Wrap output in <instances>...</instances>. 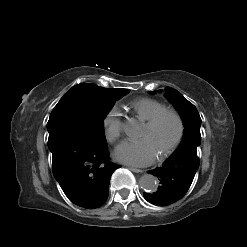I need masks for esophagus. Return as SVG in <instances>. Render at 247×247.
Here are the masks:
<instances>
[{
	"instance_id": "1",
	"label": "esophagus",
	"mask_w": 247,
	"mask_h": 247,
	"mask_svg": "<svg viewBox=\"0 0 247 247\" xmlns=\"http://www.w3.org/2000/svg\"><path fill=\"white\" fill-rule=\"evenodd\" d=\"M129 169H130L132 172H135V173H142V172H143V170L138 169V168L129 167Z\"/></svg>"
}]
</instances>
